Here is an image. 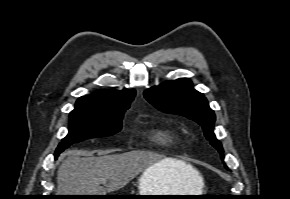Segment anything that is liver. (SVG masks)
Returning <instances> with one entry per match:
<instances>
[{
  "mask_svg": "<svg viewBox=\"0 0 290 199\" xmlns=\"http://www.w3.org/2000/svg\"><path fill=\"white\" fill-rule=\"evenodd\" d=\"M158 165L175 177L173 193H194L199 172L190 164L144 150L100 157L69 156L57 171V195H106L126 186L139 173ZM203 179V178H202ZM108 181L106 187L101 186Z\"/></svg>",
  "mask_w": 290,
  "mask_h": 199,
  "instance_id": "6515ba94",
  "label": "liver"
}]
</instances>
